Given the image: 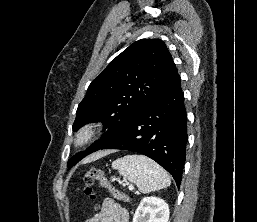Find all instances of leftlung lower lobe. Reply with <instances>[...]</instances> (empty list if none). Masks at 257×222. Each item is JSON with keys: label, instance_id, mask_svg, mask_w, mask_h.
I'll return each instance as SVG.
<instances>
[{"label": "left lung lower lobe", "instance_id": "left-lung-lower-lobe-1", "mask_svg": "<svg viewBox=\"0 0 257 222\" xmlns=\"http://www.w3.org/2000/svg\"><path fill=\"white\" fill-rule=\"evenodd\" d=\"M187 115L180 76L159 91L122 131L101 149L146 155L165 168L180 186L187 144Z\"/></svg>", "mask_w": 257, "mask_h": 222}]
</instances>
